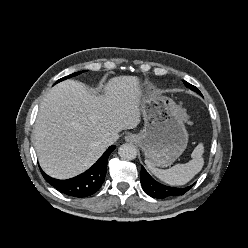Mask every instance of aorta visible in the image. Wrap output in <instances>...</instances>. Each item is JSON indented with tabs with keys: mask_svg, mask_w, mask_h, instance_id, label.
<instances>
[{
	"mask_svg": "<svg viewBox=\"0 0 248 248\" xmlns=\"http://www.w3.org/2000/svg\"><path fill=\"white\" fill-rule=\"evenodd\" d=\"M118 154L124 160H133L137 156V149L131 144H123L119 147Z\"/></svg>",
	"mask_w": 248,
	"mask_h": 248,
	"instance_id": "1",
	"label": "aorta"
}]
</instances>
